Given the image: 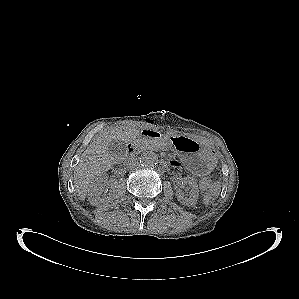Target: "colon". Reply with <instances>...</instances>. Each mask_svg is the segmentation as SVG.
<instances>
[{
  "label": "colon",
  "instance_id": "obj_1",
  "mask_svg": "<svg viewBox=\"0 0 299 299\" xmlns=\"http://www.w3.org/2000/svg\"><path fill=\"white\" fill-rule=\"evenodd\" d=\"M200 187L208 189V192L203 196L202 202L204 205H209L214 199L216 188L212 187V182L209 177H203L200 180Z\"/></svg>",
  "mask_w": 299,
  "mask_h": 299
}]
</instances>
